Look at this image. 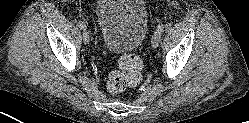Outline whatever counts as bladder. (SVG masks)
Here are the masks:
<instances>
[{"label":"bladder","mask_w":249,"mask_h":123,"mask_svg":"<svg viewBox=\"0 0 249 123\" xmlns=\"http://www.w3.org/2000/svg\"><path fill=\"white\" fill-rule=\"evenodd\" d=\"M95 14L102 44L111 52L135 49L146 36L144 0H98Z\"/></svg>","instance_id":"1"}]
</instances>
